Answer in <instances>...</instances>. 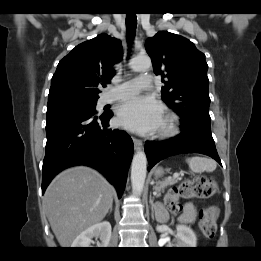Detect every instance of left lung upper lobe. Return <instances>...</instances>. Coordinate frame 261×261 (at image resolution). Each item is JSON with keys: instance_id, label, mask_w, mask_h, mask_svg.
<instances>
[{"instance_id": "1", "label": "left lung upper lobe", "mask_w": 261, "mask_h": 261, "mask_svg": "<svg viewBox=\"0 0 261 261\" xmlns=\"http://www.w3.org/2000/svg\"><path fill=\"white\" fill-rule=\"evenodd\" d=\"M145 48L154 73L162 75L163 101L182 120L211 122L205 55L190 40L168 31H160L148 38Z\"/></svg>"}]
</instances>
